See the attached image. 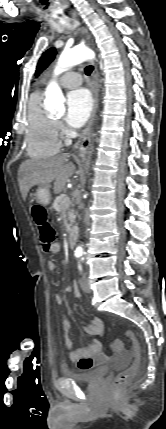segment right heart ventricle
Instances as JSON below:
<instances>
[{"label":"right heart ventricle","mask_w":166,"mask_h":429,"mask_svg":"<svg viewBox=\"0 0 166 429\" xmlns=\"http://www.w3.org/2000/svg\"><path fill=\"white\" fill-rule=\"evenodd\" d=\"M27 153L35 159L55 155L60 140L53 118L42 107V94L34 92L28 104Z\"/></svg>","instance_id":"1"}]
</instances>
